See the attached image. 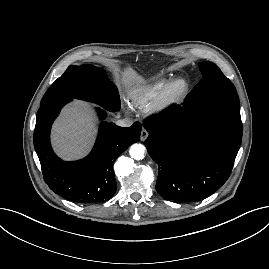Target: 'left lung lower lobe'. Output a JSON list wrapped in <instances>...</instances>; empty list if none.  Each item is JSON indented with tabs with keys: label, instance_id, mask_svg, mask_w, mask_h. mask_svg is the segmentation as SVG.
I'll return each mask as SVG.
<instances>
[{
	"label": "left lung lower lobe",
	"instance_id": "0a47b994",
	"mask_svg": "<svg viewBox=\"0 0 269 269\" xmlns=\"http://www.w3.org/2000/svg\"><path fill=\"white\" fill-rule=\"evenodd\" d=\"M148 153L158 163L156 190L175 202H194L218 190L231 174L242 139L240 107L213 105L144 122Z\"/></svg>",
	"mask_w": 269,
	"mask_h": 269
}]
</instances>
